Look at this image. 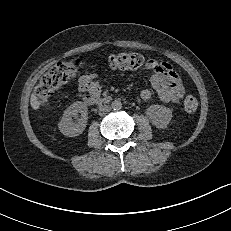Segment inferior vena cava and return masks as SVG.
<instances>
[{
  "mask_svg": "<svg viewBox=\"0 0 231 231\" xmlns=\"http://www.w3.org/2000/svg\"><path fill=\"white\" fill-rule=\"evenodd\" d=\"M110 110H111L110 106H108V105H102L99 108V115L100 116H104V115L108 114L110 112Z\"/></svg>",
  "mask_w": 231,
  "mask_h": 231,
  "instance_id": "602c4592",
  "label": "inferior vena cava"
}]
</instances>
